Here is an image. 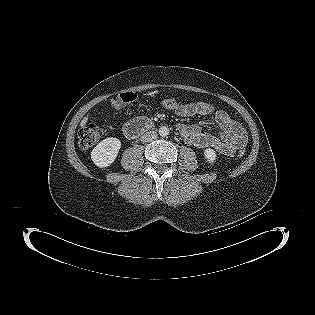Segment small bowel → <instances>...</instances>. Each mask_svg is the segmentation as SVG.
<instances>
[{"mask_svg":"<svg viewBox=\"0 0 315 315\" xmlns=\"http://www.w3.org/2000/svg\"><path fill=\"white\" fill-rule=\"evenodd\" d=\"M178 116L193 117L195 115H214V121L219 128L217 135L204 133L198 125L178 123L177 131L187 144L200 149L211 148L226 156L233 155L237 150L244 148L247 142V133L226 111L215 110L207 101L196 103H178L172 108Z\"/></svg>","mask_w":315,"mask_h":315,"instance_id":"1","label":"small bowel"}]
</instances>
